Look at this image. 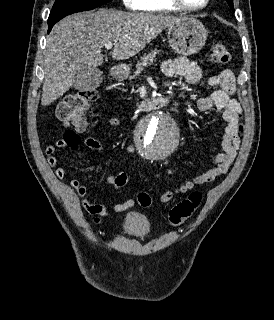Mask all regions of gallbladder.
I'll use <instances>...</instances> for the list:
<instances>
[{"label":"gallbladder","mask_w":274,"mask_h":320,"mask_svg":"<svg viewBox=\"0 0 274 320\" xmlns=\"http://www.w3.org/2000/svg\"><path fill=\"white\" fill-rule=\"evenodd\" d=\"M103 68H80L77 72L73 88L75 90H96L103 78Z\"/></svg>","instance_id":"obj_1"}]
</instances>
